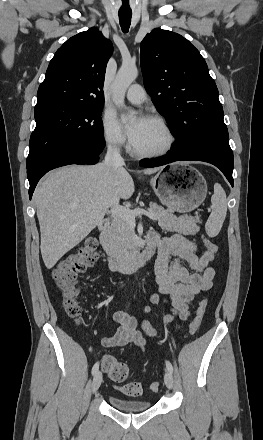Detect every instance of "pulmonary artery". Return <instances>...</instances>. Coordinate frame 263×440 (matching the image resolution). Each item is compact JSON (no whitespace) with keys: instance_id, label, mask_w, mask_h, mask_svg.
Wrapping results in <instances>:
<instances>
[{"instance_id":"1","label":"pulmonary artery","mask_w":263,"mask_h":440,"mask_svg":"<svg viewBox=\"0 0 263 440\" xmlns=\"http://www.w3.org/2000/svg\"><path fill=\"white\" fill-rule=\"evenodd\" d=\"M126 98L133 104H141L146 99V92L139 84H133L129 87Z\"/></svg>"}]
</instances>
